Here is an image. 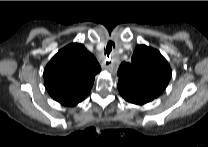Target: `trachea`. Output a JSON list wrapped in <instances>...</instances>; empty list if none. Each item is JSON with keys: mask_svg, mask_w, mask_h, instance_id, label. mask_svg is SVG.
Masks as SVG:
<instances>
[{"mask_svg": "<svg viewBox=\"0 0 208 147\" xmlns=\"http://www.w3.org/2000/svg\"><path fill=\"white\" fill-rule=\"evenodd\" d=\"M112 45H113V47H114V43H112ZM106 50H107V52H111V51H112V46H111V44H108V45H107ZM105 54H106V52H105ZM108 57H109V55H108Z\"/></svg>", "mask_w": 208, "mask_h": 147, "instance_id": "3493384b", "label": "trachea"}]
</instances>
